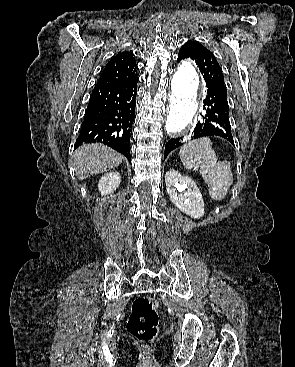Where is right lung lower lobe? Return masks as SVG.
I'll return each mask as SVG.
<instances>
[{
  "mask_svg": "<svg viewBox=\"0 0 295 367\" xmlns=\"http://www.w3.org/2000/svg\"><path fill=\"white\" fill-rule=\"evenodd\" d=\"M137 82L95 86L74 149L84 143L100 142L131 161L130 139L135 118Z\"/></svg>",
  "mask_w": 295,
  "mask_h": 367,
  "instance_id": "right-lung-lower-lobe-1",
  "label": "right lung lower lobe"
}]
</instances>
